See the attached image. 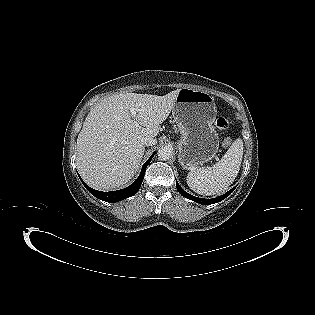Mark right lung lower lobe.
I'll return each mask as SVG.
<instances>
[{
  "instance_id": "98d812e1",
  "label": "right lung lower lobe",
  "mask_w": 315,
  "mask_h": 315,
  "mask_svg": "<svg viewBox=\"0 0 315 315\" xmlns=\"http://www.w3.org/2000/svg\"><path fill=\"white\" fill-rule=\"evenodd\" d=\"M154 156V153L152 154V156L145 162V164L142 167L141 173L139 175V177L135 180V182L133 184H131L129 187L121 189V190H117V191H110V192H102V191H97L94 190L92 188H90L89 186H87L81 179L83 185L86 187V189L95 197H97L98 199H101L103 201L106 202H110V203H116L118 201H121L123 199H126L128 197L133 196L134 194H136L139 189L140 186L143 182V178H144V174L146 171V167L148 166V164L150 163L152 157ZM80 177V176H79Z\"/></svg>"
}]
</instances>
